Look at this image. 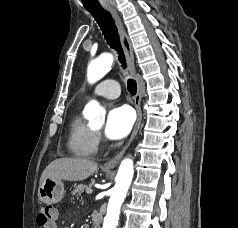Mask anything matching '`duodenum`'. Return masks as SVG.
<instances>
[{
  "mask_svg": "<svg viewBox=\"0 0 238 228\" xmlns=\"http://www.w3.org/2000/svg\"><path fill=\"white\" fill-rule=\"evenodd\" d=\"M91 220L93 222V228H101V224H102V214L99 212H92L91 214Z\"/></svg>",
  "mask_w": 238,
  "mask_h": 228,
  "instance_id": "duodenum-1",
  "label": "duodenum"
}]
</instances>
